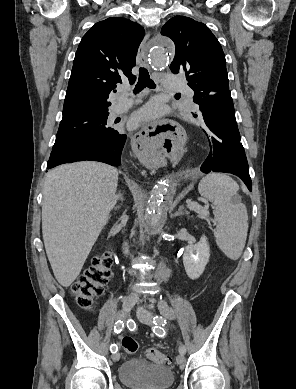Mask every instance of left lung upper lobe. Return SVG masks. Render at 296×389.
<instances>
[{
	"instance_id": "5c2ea615",
	"label": "left lung upper lobe",
	"mask_w": 296,
	"mask_h": 389,
	"mask_svg": "<svg viewBox=\"0 0 296 389\" xmlns=\"http://www.w3.org/2000/svg\"><path fill=\"white\" fill-rule=\"evenodd\" d=\"M161 34L174 41L176 52L170 69L175 74L185 73L200 110L208 102L207 96L230 92L224 52L205 24L175 16L162 27Z\"/></svg>"
}]
</instances>
